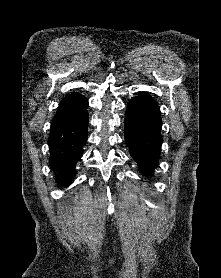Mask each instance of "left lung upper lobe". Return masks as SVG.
Returning a JSON list of instances; mask_svg holds the SVG:
<instances>
[{"instance_id": "5c2ea615", "label": "left lung upper lobe", "mask_w": 221, "mask_h": 278, "mask_svg": "<svg viewBox=\"0 0 221 278\" xmlns=\"http://www.w3.org/2000/svg\"><path fill=\"white\" fill-rule=\"evenodd\" d=\"M133 99L138 100V101H154L147 94H145L144 92H142L139 96H137Z\"/></svg>"}]
</instances>
